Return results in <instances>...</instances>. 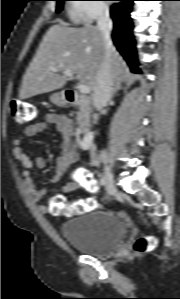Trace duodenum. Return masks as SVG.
Here are the masks:
<instances>
[{
    "instance_id": "obj_1",
    "label": "duodenum",
    "mask_w": 180,
    "mask_h": 299,
    "mask_svg": "<svg viewBox=\"0 0 180 299\" xmlns=\"http://www.w3.org/2000/svg\"><path fill=\"white\" fill-rule=\"evenodd\" d=\"M65 98L68 104L82 108L85 117L80 120L78 126L82 133H88L91 130V122L87 117L91 109L89 98L71 89L65 91Z\"/></svg>"
}]
</instances>
